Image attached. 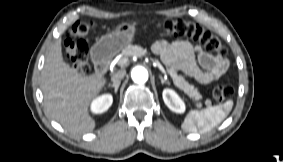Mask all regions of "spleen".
I'll return each mask as SVG.
<instances>
[{
  "label": "spleen",
  "mask_w": 283,
  "mask_h": 162,
  "mask_svg": "<svg viewBox=\"0 0 283 162\" xmlns=\"http://www.w3.org/2000/svg\"><path fill=\"white\" fill-rule=\"evenodd\" d=\"M233 101L228 100L224 104L211 106L203 110H191L181 127L186 132L205 133L220 124L231 112Z\"/></svg>",
  "instance_id": "spleen-1"
}]
</instances>
